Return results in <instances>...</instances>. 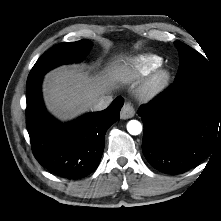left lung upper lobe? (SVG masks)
<instances>
[{"mask_svg": "<svg viewBox=\"0 0 221 221\" xmlns=\"http://www.w3.org/2000/svg\"><path fill=\"white\" fill-rule=\"evenodd\" d=\"M179 52L180 66L174 83L198 80L208 83L221 92V76L209 65L200 53L181 42H174Z\"/></svg>", "mask_w": 221, "mask_h": 221, "instance_id": "left-lung-upper-lobe-1", "label": "left lung upper lobe"}]
</instances>
